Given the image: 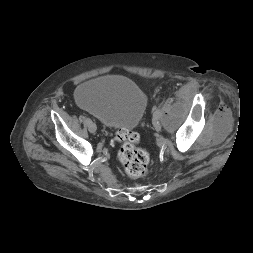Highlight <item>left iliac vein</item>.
Wrapping results in <instances>:
<instances>
[{"label": "left iliac vein", "mask_w": 253, "mask_h": 253, "mask_svg": "<svg viewBox=\"0 0 253 253\" xmlns=\"http://www.w3.org/2000/svg\"><path fill=\"white\" fill-rule=\"evenodd\" d=\"M154 127H155V130L158 131V132L162 128L161 123L157 119L154 120Z\"/></svg>", "instance_id": "4c4485c4"}]
</instances>
